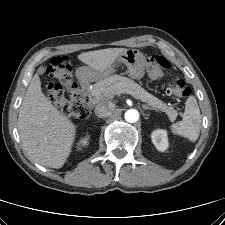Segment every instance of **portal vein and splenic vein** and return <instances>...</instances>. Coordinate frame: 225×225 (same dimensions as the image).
Returning <instances> with one entry per match:
<instances>
[{
    "instance_id": "portal-vein-and-splenic-vein-1",
    "label": "portal vein and splenic vein",
    "mask_w": 225,
    "mask_h": 225,
    "mask_svg": "<svg viewBox=\"0 0 225 225\" xmlns=\"http://www.w3.org/2000/svg\"><path fill=\"white\" fill-rule=\"evenodd\" d=\"M123 93L130 94V95H132L134 98L138 99V98L136 97V95H135V94H133V93H132V92H130V91L125 90Z\"/></svg>"
}]
</instances>
